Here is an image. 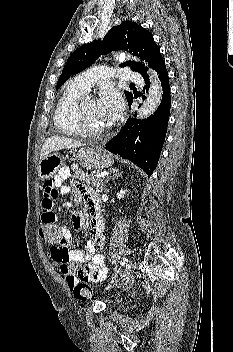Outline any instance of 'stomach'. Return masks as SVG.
Returning <instances> with one entry per match:
<instances>
[{
    "instance_id": "0dacf381",
    "label": "stomach",
    "mask_w": 233,
    "mask_h": 352,
    "mask_svg": "<svg viewBox=\"0 0 233 352\" xmlns=\"http://www.w3.org/2000/svg\"><path fill=\"white\" fill-rule=\"evenodd\" d=\"M76 158L82 166L94 170H100L113 164V159L97 147H88L80 150ZM62 166L63 161L59 156L55 154L47 155L39 162V178L46 180L53 177Z\"/></svg>"
}]
</instances>
